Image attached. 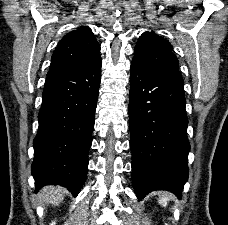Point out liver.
I'll list each match as a JSON object with an SVG mask.
<instances>
[{
    "mask_svg": "<svg viewBox=\"0 0 228 225\" xmlns=\"http://www.w3.org/2000/svg\"><path fill=\"white\" fill-rule=\"evenodd\" d=\"M42 201H45L47 205H56L64 199L63 189L61 187H44L40 193Z\"/></svg>",
    "mask_w": 228,
    "mask_h": 225,
    "instance_id": "6515ba94",
    "label": "liver"
}]
</instances>
